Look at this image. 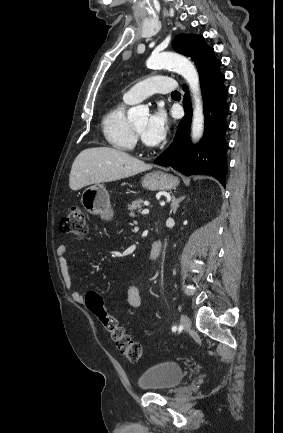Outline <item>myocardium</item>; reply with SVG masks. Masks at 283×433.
<instances>
[{
    "mask_svg": "<svg viewBox=\"0 0 283 433\" xmlns=\"http://www.w3.org/2000/svg\"><path fill=\"white\" fill-rule=\"evenodd\" d=\"M133 131H134V133H135L136 136H139L140 133L138 132V130L135 128L134 125H133Z\"/></svg>",
    "mask_w": 283,
    "mask_h": 433,
    "instance_id": "myocardium-1",
    "label": "myocardium"
}]
</instances>
